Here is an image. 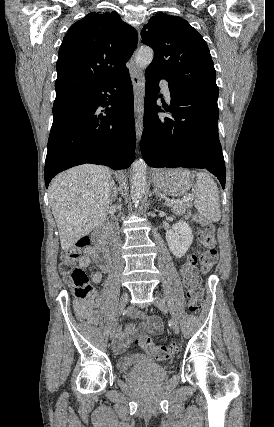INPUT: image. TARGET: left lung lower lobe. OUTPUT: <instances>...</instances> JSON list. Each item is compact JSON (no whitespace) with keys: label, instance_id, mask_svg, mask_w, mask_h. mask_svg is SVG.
Listing matches in <instances>:
<instances>
[{"label":"left lung lower lobe","instance_id":"left-lung-lower-lobe-1","mask_svg":"<svg viewBox=\"0 0 274 427\" xmlns=\"http://www.w3.org/2000/svg\"><path fill=\"white\" fill-rule=\"evenodd\" d=\"M141 152L156 168H204L225 187V163L218 135L216 96L177 87L169 82L170 107L157 106L158 73L147 70ZM161 112L165 115H158Z\"/></svg>","mask_w":274,"mask_h":427}]
</instances>
